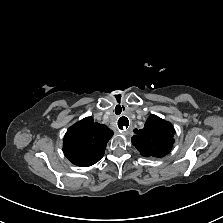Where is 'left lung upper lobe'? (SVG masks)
Masks as SVG:
<instances>
[{
    "mask_svg": "<svg viewBox=\"0 0 223 223\" xmlns=\"http://www.w3.org/2000/svg\"><path fill=\"white\" fill-rule=\"evenodd\" d=\"M132 143L145 157H163L167 155L174 143L175 130L172 124L156 115L147 119L144 128L134 130Z\"/></svg>",
    "mask_w": 223,
    "mask_h": 223,
    "instance_id": "5c2ea615",
    "label": "left lung upper lobe"
}]
</instances>
